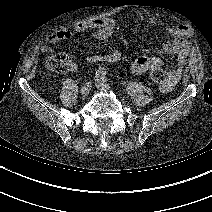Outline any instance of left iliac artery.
<instances>
[{"label": "left iliac artery", "mask_w": 212, "mask_h": 212, "mask_svg": "<svg viewBox=\"0 0 212 212\" xmlns=\"http://www.w3.org/2000/svg\"><path fill=\"white\" fill-rule=\"evenodd\" d=\"M102 81L107 82V77H101Z\"/></svg>", "instance_id": "44dca946"}]
</instances>
